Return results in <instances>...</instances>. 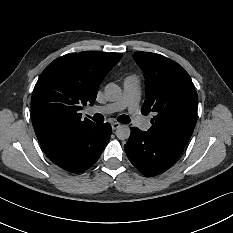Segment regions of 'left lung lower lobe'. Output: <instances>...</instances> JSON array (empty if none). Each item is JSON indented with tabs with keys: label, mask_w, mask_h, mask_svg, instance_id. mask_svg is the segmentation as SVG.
Wrapping results in <instances>:
<instances>
[{
	"label": "left lung lower lobe",
	"mask_w": 233,
	"mask_h": 233,
	"mask_svg": "<svg viewBox=\"0 0 233 233\" xmlns=\"http://www.w3.org/2000/svg\"><path fill=\"white\" fill-rule=\"evenodd\" d=\"M185 146L151 137L133 127L124 149L130 162L144 175L162 174L174 165Z\"/></svg>",
	"instance_id": "left-lung-lower-lobe-1"
}]
</instances>
